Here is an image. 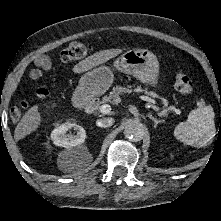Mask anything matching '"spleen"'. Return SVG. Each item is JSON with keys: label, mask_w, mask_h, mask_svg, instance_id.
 <instances>
[{"label": "spleen", "mask_w": 221, "mask_h": 221, "mask_svg": "<svg viewBox=\"0 0 221 221\" xmlns=\"http://www.w3.org/2000/svg\"><path fill=\"white\" fill-rule=\"evenodd\" d=\"M197 106L189 113L186 122L175 127L174 136L186 145L200 148L209 145L215 137V114L212 106L205 105L203 100L198 101Z\"/></svg>", "instance_id": "obj_1"}]
</instances>
